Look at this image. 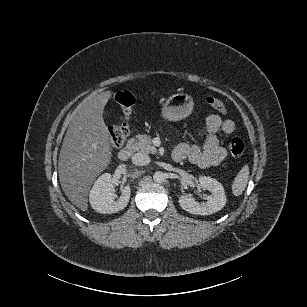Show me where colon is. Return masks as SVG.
<instances>
[{
    "instance_id": "obj_1",
    "label": "colon",
    "mask_w": 307,
    "mask_h": 307,
    "mask_svg": "<svg viewBox=\"0 0 307 307\" xmlns=\"http://www.w3.org/2000/svg\"><path fill=\"white\" fill-rule=\"evenodd\" d=\"M112 98L122 107L125 120L121 124L112 126L109 129V139L113 147H120L129 134L128 119L135 104V96L128 90H120L113 93ZM206 103L222 114L227 112L225 104L216 97H206ZM229 149L233 157L240 158L245 151L244 142L240 138H233L230 142Z\"/></svg>"
}]
</instances>
